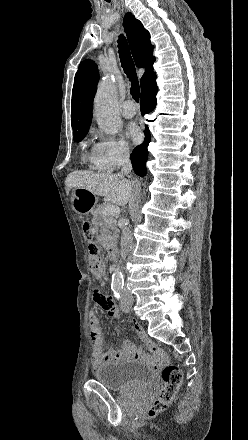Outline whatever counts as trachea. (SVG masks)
<instances>
[{"mask_svg": "<svg viewBox=\"0 0 248 440\" xmlns=\"http://www.w3.org/2000/svg\"><path fill=\"white\" fill-rule=\"evenodd\" d=\"M118 48H119V58L121 62V66L131 81L130 93L136 102H139L140 97V88L139 82L137 78L136 68L130 53V49L125 37L120 36L118 40Z\"/></svg>", "mask_w": 248, "mask_h": 440, "instance_id": "obj_1", "label": "trachea"}]
</instances>
